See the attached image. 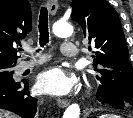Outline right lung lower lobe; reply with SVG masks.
Listing matches in <instances>:
<instances>
[{
    "label": "right lung lower lobe",
    "instance_id": "98d812e1",
    "mask_svg": "<svg viewBox=\"0 0 133 118\" xmlns=\"http://www.w3.org/2000/svg\"><path fill=\"white\" fill-rule=\"evenodd\" d=\"M36 107L37 98L30 95L27 81L0 84V108L34 118Z\"/></svg>",
    "mask_w": 133,
    "mask_h": 118
}]
</instances>
